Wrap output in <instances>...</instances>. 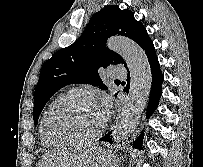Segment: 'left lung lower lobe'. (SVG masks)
Segmentation results:
<instances>
[{
  "instance_id": "1",
  "label": "left lung lower lobe",
  "mask_w": 203,
  "mask_h": 167,
  "mask_svg": "<svg viewBox=\"0 0 203 167\" xmlns=\"http://www.w3.org/2000/svg\"><path fill=\"white\" fill-rule=\"evenodd\" d=\"M142 49L145 51V54L147 55L150 68H151V73H152L151 93H150L149 103L147 107V116L149 117L157 108L160 96L162 95V83L164 80V76L160 69V65L158 62V58L156 56L153 42L151 40L148 41L142 47ZM127 81L129 82V77L127 78ZM127 87H128V84H127ZM100 140L112 143L110 133L105 135ZM142 140H143V133L133 142L134 146L136 148H141Z\"/></svg>"
}]
</instances>
